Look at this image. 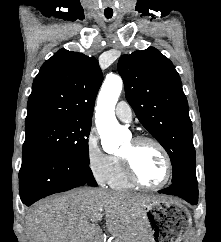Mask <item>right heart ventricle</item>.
<instances>
[{
	"label": "right heart ventricle",
	"instance_id": "obj_1",
	"mask_svg": "<svg viewBox=\"0 0 221 242\" xmlns=\"http://www.w3.org/2000/svg\"><path fill=\"white\" fill-rule=\"evenodd\" d=\"M112 167L108 177V183L115 189H132L136 185L128 178L120 156H112Z\"/></svg>",
	"mask_w": 221,
	"mask_h": 242
}]
</instances>
